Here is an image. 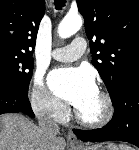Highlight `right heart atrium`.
Segmentation results:
<instances>
[{
  "label": "right heart atrium",
  "mask_w": 139,
  "mask_h": 150,
  "mask_svg": "<svg viewBox=\"0 0 139 150\" xmlns=\"http://www.w3.org/2000/svg\"><path fill=\"white\" fill-rule=\"evenodd\" d=\"M30 103L34 112L42 118L60 120L67 113V107L47 89L40 73L34 76Z\"/></svg>",
  "instance_id": "obj_1"
}]
</instances>
